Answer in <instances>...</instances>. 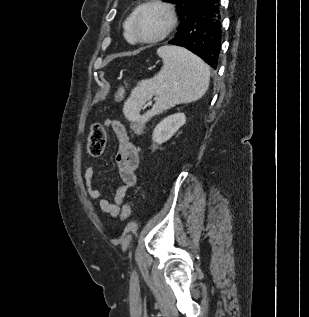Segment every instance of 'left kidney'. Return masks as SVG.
<instances>
[{
    "label": "left kidney",
    "instance_id": "5707ae66",
    "mask_svg": "<svg viewBox=\"0 0 309 317\" xmlns=\"http://www.w3.org/2000/svg\"><path fill=\"white\" fill-rule=\"evenodd\" d=\"M186 122L184 113L169 115L156 125L152 134V140L157 145L169 140Z\"/></svg>",
    "mask_w": 309,
    "mask_h": 317
}]
</instances>
